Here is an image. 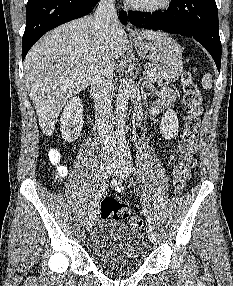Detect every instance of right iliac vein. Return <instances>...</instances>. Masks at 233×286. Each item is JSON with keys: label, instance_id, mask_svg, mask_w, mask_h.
<instances>
[{"label": "right iliac vein", "instance_id": "obj_1", "mask_svg": "<svg viewBox=\"0 0 233 286\" xmlns=\"http://www.w3.org/2000/svg\"><path fill=\"white\" fill-rule=\"evenodd\" d=\"M111 171H112L111 159L110 158L104 159L101 163V166H100L101 176L103 178L107 177L111 173ZM95 221H96V214L93 213L92 216H90L89 221L87 223V230L88 231H91L92 227L95 224Z\"/></svg>", "mask_w": 233, "mask_h": 286}]
</instances>
